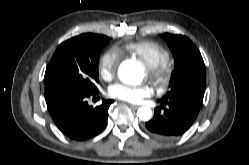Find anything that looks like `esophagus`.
Wrapping results in <instances>:
<instances>
[{
    "label": "esophagus",
    "mask_w": 249,
    "mask_h": 165,
    "mask_svg": "<svg viewBox=\"0 0 249 165\" xmlns=\"http://www.w3.org/2000/svg\"><path fill=\"white\" fill-rule=\"evenodd\" d=\"M130 107L133 108V109H137L139 107V105L130 104Z\"/></svg>",
    "instance_id": "esophagus-1"
}]
</instances>
